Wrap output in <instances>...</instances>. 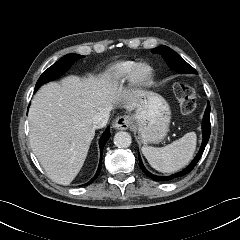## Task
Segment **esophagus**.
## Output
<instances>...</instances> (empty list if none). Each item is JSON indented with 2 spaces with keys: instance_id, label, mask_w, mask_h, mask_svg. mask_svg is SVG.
<instances>
[{
  "instance_id": "34e87169",
  "label": "esophagus",
  "mask_w": 240,
  "mask_h": 240,
  "mask_svg": "<svg viewBox=\"0 0 240 240\" xmlns=\"http://www.w3.org/2000/svg\"><path fill=\"white\" fill-rule=\"evenodd\" d=\"M132 123L130 116H118L113 122V128L116 130H127Z\"/></svg>"
}]
</instances>
